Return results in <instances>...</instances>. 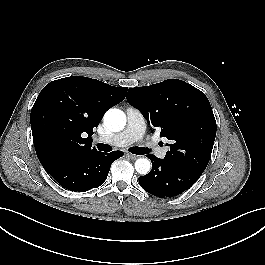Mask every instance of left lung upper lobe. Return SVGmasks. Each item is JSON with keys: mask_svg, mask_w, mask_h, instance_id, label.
<instances>
[{"mask_svg": "<svg viewBox=\"0 0 265 265\" xmlns=\"http://www.w3.org/2000/svg\"><path fill=\"white\" fill-rule=\"evenodd\" d=\"M128 102L171 140L164 160L201 176L216 137V121L203 92L178 79L129 88Z\"/></svg>", "mask_w": 265, "mask_h": 265, "instance_id": "left-lung-upper-lobe-1", "label": "left lung upper lobe"}]
</instances>
